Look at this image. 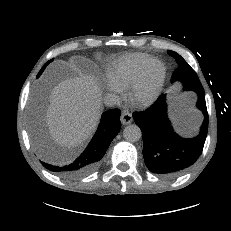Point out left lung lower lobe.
Returning a JSON list of instances; mask_svg holds the SVG:
<instances>
[{
    "instance_id": "0a47b994",
    "label": "left lung lower lobe",
    "mask_w": 231,
    "mask_h": 231,
    "mask_svg": "<svg viewBox=\"0 0 231 231\" xmlns=\"http://www.w3.org/2000/svg\"><path fill=\"white\" fill-rule=\"evenodd\" d=\"M184 90L197 93L196 106L204 115L200 133L196 137L183 138L173 131L167 117L165 94L146 111L133 113L135 123L142 131L144 161L152 173L166 177L178 176L190 168L202 154L208 132L204 89L201 84H194L184 86Z\"/></svg>"
}]
</instances>
